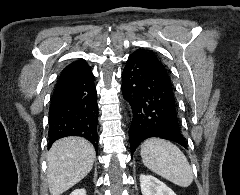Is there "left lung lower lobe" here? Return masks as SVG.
Listing matches in <instances>:
<instances>
[{
  "label": "left lung lower lobe",
  "instance_id": "1",
  "mask_svg": "<svg viewBox=\"0 0 240 195\" xmlns=\"http://www.w3.org/2000/svg\"><path fill=\"white\" fill-rule=\"evenodd\" d=\"M122 92L133 119L129 129L131 153L147 138L160 137L187 148L180 132L170 76L159 61L130 55L122 73Z\"/></svg>",
  "mask_w": 240,
  "mask_h": 195
}]
</instances>
